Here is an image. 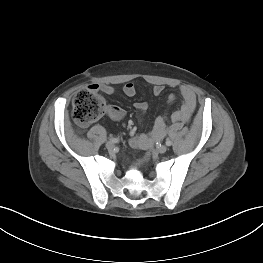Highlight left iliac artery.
Instances as JSON below:
<instances>
[{"mask_svg": "<svg viewBox=\"0 0 263 263\" xmlns=\"http://www.w3.org/2000/svg\"><path fill=\"white\" fill-rule=\"evenodd\" d=\"M165 143H166L167 146H171L172 145V141L169 140V139H167Z\"/></svg>", "mask_w": 263, "mask_h": 263, "instance_id": "44dca946", "label": "left iliac artery"}]
</instances>
